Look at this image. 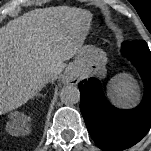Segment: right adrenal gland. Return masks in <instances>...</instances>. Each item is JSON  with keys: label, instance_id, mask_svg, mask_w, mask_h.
I'll use <instances>...</instances> for the list:
<instances>
[{"label": "right adrenal gland", "instance_id": "1", "mask_svg": "<svg viewBox=\"0 0 151 151\" xmlns=\"http://www.w3.org/2000/svg\"><path fill=\"white\" fill-rule=\"evenodd\" d=\"M36 96H41V97H43V95H41V94H38V93L36 94Z\"/></svg>", "mask_w": 151, "mask_h": 151}]
</instances>
